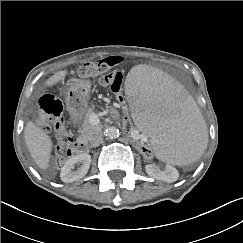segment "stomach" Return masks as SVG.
Returning <instances> with one entry per match:
<instances>
[{"mask_svg":"<svg viewBox=\"0 0 243 243\" xmlns=\"http://www.w3.org/2000/svg\"><path fill=\"white\" fill-rule=\"evenodd\" d=\"M90 88L91 82L89 80H78L66 91V107L72 116L78 117L85 113Z\"/></svg>","mask_w":243,"mask_h":243,"instance_id":"obj_1","label":"stomach"}]
</instances>
